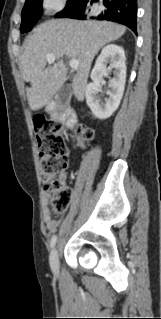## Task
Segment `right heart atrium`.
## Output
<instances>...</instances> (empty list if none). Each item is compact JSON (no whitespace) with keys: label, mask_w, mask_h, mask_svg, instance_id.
I'll list each match as a JSON object with an SVG mask.
<instances>
[{"label":"right heart atrium","mask_w":161,"mask_h":319,"mask_svg":"<svg viewBox=\"0 0 161 319\" xmlns=\"http://www.w3.org/2000/svg\"><path fill=\"white\" fill-rule=\"evenodd\" d=\"M67 0H42V6L48 14H53L65 6Z\"/></svg>","instance_id":"right-heart-atrium-1"}]
</instances>
